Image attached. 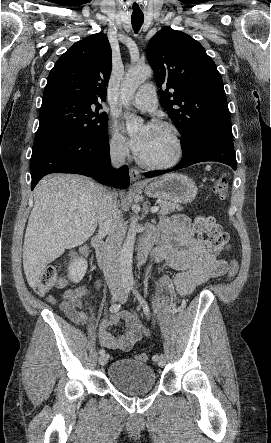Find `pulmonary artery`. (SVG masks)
I'll list each match as a JSON object with an SVG mask.
<instances>
[{
    "label": "pulmonary artery",
    "mask_w": 271,
    "mask_h": 443,
    "mask_svg": "<svg viewBox=\"0 0 271 443\" xmlns=\"http://www.w3.org/2000/svg\"><path fill=\"white\" fill-rule=\"evenodd\" d=\"M130 102L143 110L155 109L157 107V96L154 86L151 84L141 86L130 99Z\"/></svg>",
    "instance_id": "obj_1"
}]
</instances>
